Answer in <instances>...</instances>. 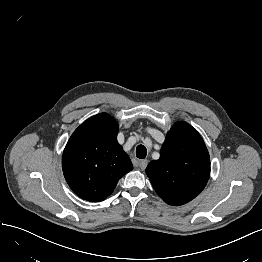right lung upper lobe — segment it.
<instances>
[{"mask_svg":"<svg viewBox=\"0 0 262 262\" xmlns=\"http://www.w3.org/2000/svg\"><path fill=\"white\" fill-rule=\"evenodd\" d=\"M118 130L114 118L100 113L84 121L70 137L62 169L68 185L82 199L104 200L118 180L133 169L117 142Z\"/></svg>","mask_w":262,"mask_h":262,"instance_id":"right-lung-upper-lobe-1","label":"right lung upper lobe"}]
</instances>
